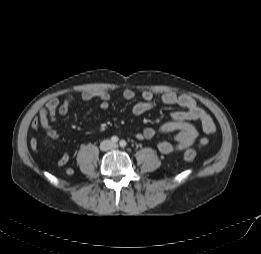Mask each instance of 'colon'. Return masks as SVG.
<instances>
[{
	"instance_id": "5ec220e1",
	"label": "colon",
	"mask_w": 261,
	"mask_h": 254,
	"mask_svg": "<svg viewBox=\"0 0 261 254\" xmlns=\"http://www.w3.org/2000/svg\"><path fill=\"white\" fill-rule=\"evenodd\" d=\"M196 151L194 149H188L184 153V159L188 162H193L196 159Z\"/></svg>"
}]
</instances>
